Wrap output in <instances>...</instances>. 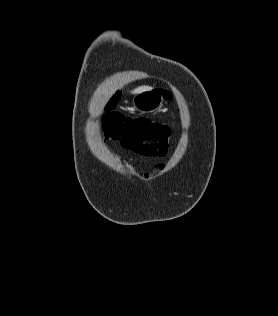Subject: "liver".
Segmentation results:
<instances>
[{
  "label": "liver",
  "instance_id": "liver-1",
  "mask_svg": "<svg viewBox=\"0 0 278 316\" xmlns=\"http://www.w3.org/2000/svg\"><path fill=\"white\" fill-rule=\"evenodd\" d=\"M150 89H152L151 87H139V88H137V89H135L134 91H133V93H140V92H143V91H146V90H150Z\"/></svg>",
  "mask_w": 278,
  "mask_h": 316
}]
</instances>
